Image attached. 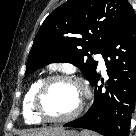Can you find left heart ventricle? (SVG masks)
I'll use <instances>...</instances> for the list:
<instances>
[{"instance_id":"left-heart-ventricle-1","label":"left heart ventricle","mask_w":136,"mask_h":136,"mask_svg":"<svg viewBox=\"0 0 136 136\" xmlns=\"http://www.w3.org/2000/svg\"><path fill=\"white\" fill-rule=\"evenodd\" d=\"M80 100L79 88L69 82L56 81L49 85L46 90L42 108L52 117H64L72 113Z\"/></svg>"}]
</instances>
